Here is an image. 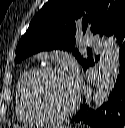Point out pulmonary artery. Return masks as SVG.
<instances>
[{"instance_id": "pulmonary-artery-1", "label": "pulmonary artery", "mask_w": 125, "mask_h": 128, "mask_svg": "<svg viewBox=\"0 0 125 128\" xmlns=\"http://www.w3.org/2000/svg\"><path fill=\"white\" fill-rule=\"evenodd\" d=\"M87 44L94 48L101 47V41L97 37L91 35L87 37Z\"/></svg>"}]
</instances>
